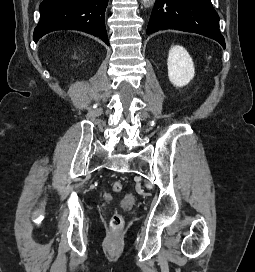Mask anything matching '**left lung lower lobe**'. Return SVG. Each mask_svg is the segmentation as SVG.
I'll return each mask as SVG.
<instances>
[{"label": "left lung lower lobe", "instance_id": "1", "mask_svg": "<svg viewBox=\"0 0 255 272\" xmlns=\"http://www.w3.org/2000/svg\"><path fill=\"white\" fill-rule=\"evenodd\" d=\"M165 29L198 33L216 40L225 48L219 16L211 0H156L146 33Z\"/></svg>", "mask_w": 255, "mask_h": 272}]
</instances>
